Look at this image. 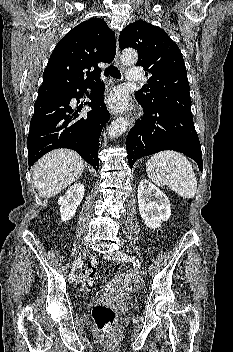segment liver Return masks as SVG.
<instances>
[{
	"mask_svg": "<svg viewBox=\"0 0 233 352\" xmlns=\"http://www.w3.org/2000/svg\"><path fill=\"white\" fill-rule=\"evenodd\" d=\"M84 160L74 151L58 149L39 159L32 168L35 188L50 198L75 182L83 173Z\"/></svg>",
	"mask_w": 233,
	"mask_h": 352,
	"instance_id": "1",
	"label": "liver"
}]
</instances>
